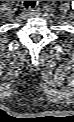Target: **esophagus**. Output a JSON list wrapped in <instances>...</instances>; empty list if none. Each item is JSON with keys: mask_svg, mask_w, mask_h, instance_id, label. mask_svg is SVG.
I'll list each match as a JSON object with an SVG mask.
<instances>
[{"mask_svg": "<svg viewBox=\"0 0 74 122\" xmlns=\"http://www.w3.org/2000/svg\"><path fill=\"white\" fill-rule=\"evenodd\" d=\"M27 13L32 15V16H36L38 14V10L37 9H33V8H29L27 10Z\"/></svg>", "mask_w": 74, "mask_h": 122, "instance_id": "34e87169", "label": "esophagus"}]
</instances>
